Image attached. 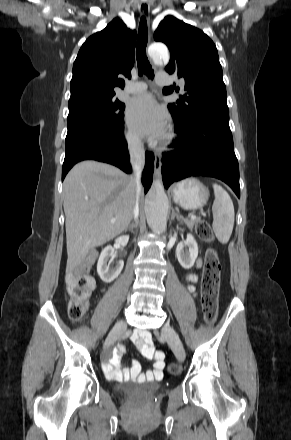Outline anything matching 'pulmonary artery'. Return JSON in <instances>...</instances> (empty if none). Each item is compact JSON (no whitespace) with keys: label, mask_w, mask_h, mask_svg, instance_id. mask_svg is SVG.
Returning a JSON list of instances; mask_svg holds the SVG:
<instances>
[{"label":"pulmonary artery","mask_w":291,"mask_h":440,"mask_svg":"<svg viewBox=\"0 0 291 440\" xmlns=\"http://www.w3.org/2000/svg\"><path fill=\"white\" fill-rule=\"evenodd\" d=\"M155 82L160 86L170 85L172 83V75L167 73H158L155 77ZM147 84L143 81L130 82L126 88L125 92L128 94H138L145 91Z\"/></svg>","instance_id":"pulmonary-artery-1"}]
</instances>
